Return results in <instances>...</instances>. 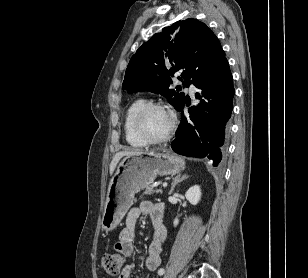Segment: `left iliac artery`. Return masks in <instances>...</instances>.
Here are the masks:
<instances>
[{"label": "left iliac artery", "instance_id": "left-iliac-artery-1", "mask_svg": "<svg viewBox=\"0 0 308 278\" xmlns=\"http://www.w3.org/2000/svg\"><path fill=\"white\" fill-rule=\"evenodd\" d=\"M165 273V270L163 268L159 269L158 274L163 275Z\"/></svg>", "mask_w": 308, "mask_h": 278}]
</instances>
